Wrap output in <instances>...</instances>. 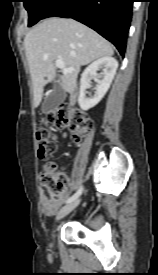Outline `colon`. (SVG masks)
Here are the masks:
<instances>
[{"mask_svg": "<svg viewBox=\"0 0 158 275\" xmlns=\"http://www.w3.org/2000/svg\"><path fill=\"white\" fill-rule=\"evenodd\" d=\"M93 122L91 118L82 110L70 109L67 106H58L51 110L39 122V127L36 132L38 144V156L41 159L47 158L55 151V135L49 127H54L56 130L68 128L75 139L87 132ZM40 184L48 189L49 197L53 201L63 199L67 186V176L56 170V166L52 162H47L44 165V173L40 177Z\"/></svg>", "mask_w": 158, "mask_h": 275, "instance_id": "obj_1", "label": "colon"}]
</instances>
